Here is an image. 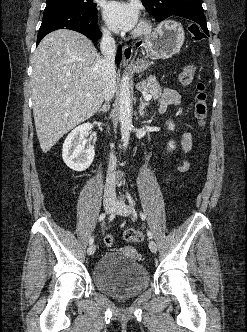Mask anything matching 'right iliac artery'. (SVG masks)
<instances>
[{
  "label": "right iliac artery",
  "instance_id": "right-iliac-artery-1",
  "mask_svg": "<svg viewBox=\"0 0 247 332\" xmlns=\"http://www.w3.org/2000/svg\"><path fill=\"white\" fill-rule=\"evenodd\" d=\"M106 217V214L105 213H102L100 216H99V221H103ZM94 242V237L92 236L90 239H89V244L92 245Z\"/></svg>",
  "mask_w": 247,
  "mask_h": 332
}]
</instances>
